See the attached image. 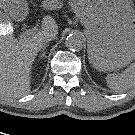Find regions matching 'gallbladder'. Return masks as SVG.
Returning a JSON list of instances; mask_svg holds the SVG:
<instances>
[{
  "label": "gallbladder",
  "mask_w": 135,
  "mask_h": 135,
  "mask_svg": "<svg viewBox=\"0 0 135 135\" xmlns=\"http://www.w3.org/2000/svg\"><path fill=\"white\" fill-rule=\"evenodd\" d=\"M3 15H4L3 11L0 10V23L5 22V20L2 19Z\"/></svg>",
  "instance_id": "bac80fb5"
}]
</instances>
